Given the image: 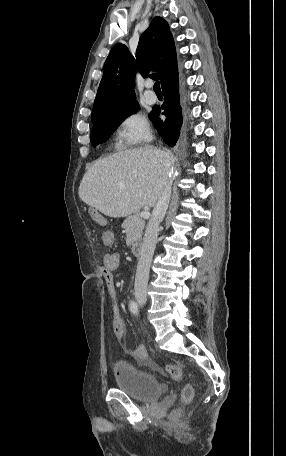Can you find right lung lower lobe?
I'll return each mask as SVG.
<instances>
[{
	"mask_svg": "<svg viewBox=\"0 0 286 456\" xmlns=\"http://www.w3.org/2000/svg\"><path fill=\"white\" fill-rule=\"evenodd\" d=\"M164 102L161 108L166 119L159 118L160 107H155L150 114V119L157 129L164 142L174 147L180 136V129L183 123L182 106L179 95L178 77L162 87Z\"/></svg>",
	"mask_w": 286,
	"mask_h": 456,
	"instance_id": "obj_1",
	"label": "right lung lower lobe"
}]
</instances>
